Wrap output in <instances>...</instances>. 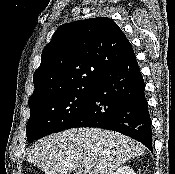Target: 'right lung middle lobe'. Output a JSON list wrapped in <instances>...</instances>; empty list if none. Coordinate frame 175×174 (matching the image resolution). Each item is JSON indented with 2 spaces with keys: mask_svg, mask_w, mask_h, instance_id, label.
I'll list each match as a JSON object with an SVG mask.
<instances>
[{
  "mask_svg": "<svg viewBox=\"0 0 175 174\" xmlns=\"http://www.w3.org/2000/svg\"><path fill=\"white\" fill-rule=\"evenodd\" d=\"M93 87L68 90L29 105L28 142L65 130L85 108Z\"/></svg>",
  "mask_w": 175,
  "mask_h": 174,
  "instance_id": "1",
  "label": "right lung middle lobe"
}]
</instances>
